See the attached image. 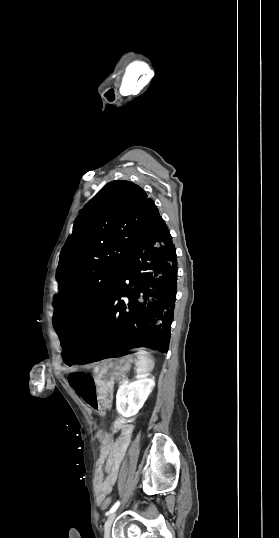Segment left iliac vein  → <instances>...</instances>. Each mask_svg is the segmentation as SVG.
<instances>
[{
	"instance_id": "4c4485c4",
	"label": "left iliac vein",
	"mask_w": 279,
	"mask_h": 538,
	"mask_svg": "<svg viewBox=\"0 0 279 538\" xmlns=\"http://www.w3.org/2000/svg\"><path fill=\"white\" fill-rule=\"evenodd\" d=\"M115 517H116V512H113L107 518L105 522V526H104V538H110V531H111V527H112Z\"/></svg>"
}]
</instances>
